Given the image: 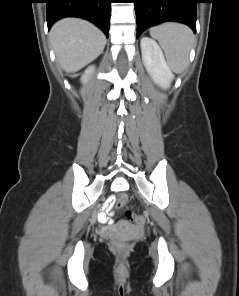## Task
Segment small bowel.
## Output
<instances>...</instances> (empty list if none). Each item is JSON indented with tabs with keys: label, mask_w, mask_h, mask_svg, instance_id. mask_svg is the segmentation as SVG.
Returning <instances> with one entry per match:
<instances>
[{
	"label": "small bowel",
	"mask_w": 239,
	"mask_h": 296,
	"mask_svg": "<svg viewBox=\"0 0 239 296\" xmlns=\"http://www.w3.org/2000/svg\"><path fill=\"white\" fill-rule=\"evenodd\" d=\"M113 215L112 211V205L108 204L105 208V212H102L99 214V217L103 219L104 221L110 222L111 221V216Z\"/></svg>",
	"instance_id": "c3829d8e"
}]
</instances>
